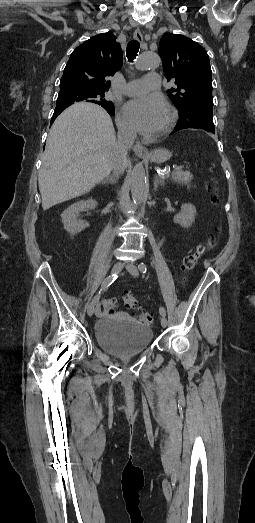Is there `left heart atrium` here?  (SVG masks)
Instances as JSON below:
<instances>
[{"instance_id":"obj_1","label":"left heart atrium","mask_w":255,"mask_h":523,"mask_svg":"<svg viewBox=\"0 0 255 523\" xmlns=\"http://www.w3.org/2000/svg\"><path fill=\"white\" fill-rule=\"evenodd\" d=\"M164 106L158 96H143L140 100L129 101L124 107V113L132 127L141 133L151 134Z\"/></svg>"}]
</instances>
